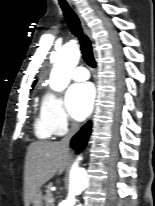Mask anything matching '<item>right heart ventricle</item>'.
<instances>
[{
	"instance_id": "e07e8e85",
	"label": "right heart ventricle",
	"mask_w": 155,
	"mask_h": 206,
	"mask_svg": "<svg viewBox=\"0 0 155 206\" xmlns=\"http://www.w3.org/2000/svg\"><path fill=\"white\" fill-rule=\"evenodd\" d=\"M35 133L41 139H49L53 135L41 114L35 121Z\"/></svg>"
}]
</instances>
